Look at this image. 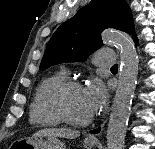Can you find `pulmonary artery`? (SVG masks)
I'll return each mask as SVG.
<instances>
[{
    "label": "pulmonary artery",
    "mask_w": 155,
    "mask_h": 149,
    "mask_svg": "<svg viewBox=\"0 0 155 149\" xmlns=\"http://www.w3.org/2000/svg\"><path fill=\"white\" fill-rule=\"evenodd\" d=\"M95 63L98 66L114 65L116 63V54L111 49H100L95 54Z\"/></svg>",
    "instance_id": "1"
}]
</instances>
